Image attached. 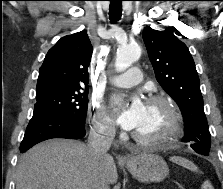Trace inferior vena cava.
Segmentation results:
<instances>
[{
    "mask_svg": "<svg viewBox=\"0 0 223 189\" xmlns=\"http://www.w3.org/2000/svg\"><path fill=\"white\" fill-rule=\"evenodd\" d=\"M114 137L115 128L113 126L95 122L90 130L87 147L93 156L105 159ZM95 189H110V186L104 178H101Z\"/></svg>",
    "mask_w": 223,
    "mask_h": 189,
    "instance_id": "inferior-vena-cava-1",
    "label": "inferior vena cava"
}]
</instances>
